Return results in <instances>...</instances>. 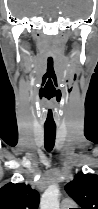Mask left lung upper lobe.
<instances>
[{
	"instance_id": "obj_1",
	"label": "left lung upper lobe",
	"mask_w": 98,
	"mask_h": 209,
	"mask_svg": "<svg viewBox=\"0 0 98 209\" xmlns=\"http://www.w3.org/2000/svg\"><path fill=\"white\" fill-rule=\"evenodd\" d=\"M65 190L80 209H98V175L80 172Z\"/></svg>"
}]
</instances>
